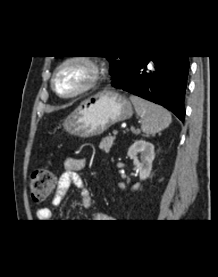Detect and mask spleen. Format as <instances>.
Wrapping results in <instances>:
<instances>
[{"instance_id": "3e777b00", "label": "spleen", "mask_w": 218, "mask_h": 277, "mask_svg": "<svg viewBox=\"0 0 218 277\" xmlns=\"http://www.w3.org/2000/svg\"><path fill=\"white\" fill-rule=\"evenodd\" d=\"M130 100L142 119L141 129L145 134L154 135L170 125L171 114L163 107L135 95H131Z\"/></svg>"}]
</instances>
